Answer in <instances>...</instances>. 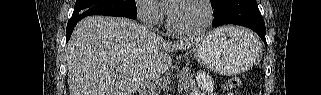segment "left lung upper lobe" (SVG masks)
<instances>
[{"mask_svg":"<svg viewBox=\"0 0 321 95\" xmlns=\"http://www.w3.org/2000/svg\"><path fill=\"white\" fill-rule=\"evenodd\" d=\"M222 0H211V6L215 7L217 6Z\"/></svg>","mask_w":321,"mask_h":95,"instance_id":"obj_1","label":"left lung upper lobe"}]
</instances>
